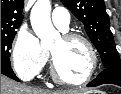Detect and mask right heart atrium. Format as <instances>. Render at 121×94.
I'll list each match as a JSON object with an SVG mask.
<instances>
[{"label":"right heart atrium","instance_id":"1","mask_svg":"<svg viewBox=\"0 0 121 94\" xmlns=\"http://www.w3.org/2000/svg\"><path fill=\"white\" fill-rule=\"evenodd\" d=\"M48 59V51L31 31L18 33L12 46L11 61L20 78L29 80L40 74Z\"/></svg>","mask_w":121,"mask_h":94}]
</instances>
